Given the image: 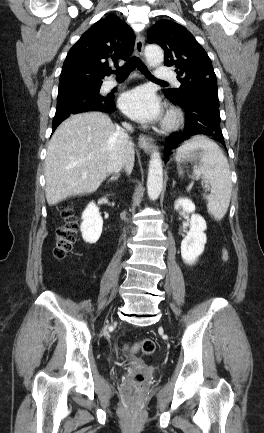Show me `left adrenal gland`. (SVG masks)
<instances>
[{
    "instance_id": "left-adrenal-gland-1",
    "label": "left adrenal gland",
    "mask_w": 264,
    "mask_h": 433,
    "mask_svg": "<svg viewBox=\"0 0 264 433\" xmlns=\"http://www.w3.org/2000/svg\"><path fill=\"white\" fill-rule=\"evenodd\" d=\"M175 184H176V181H174V180H173V183H172V187H174V186H175Z\"/></svg>"
}]
</instances>
